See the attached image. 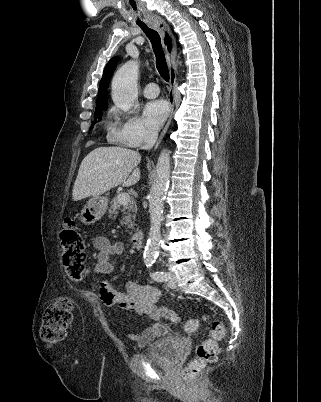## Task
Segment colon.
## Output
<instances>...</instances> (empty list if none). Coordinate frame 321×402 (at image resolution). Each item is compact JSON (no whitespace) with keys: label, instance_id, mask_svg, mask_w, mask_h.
<instances>
[{"label":"colon","instance_id":"1","mask_svg":"<svg viewBox=\"0 0 321 402\" xmlns=\"http://www.w3.org/2000/svg\"><path fill=\"white\" fill-rule=\"evenodd\" d=\"M60 236L65 272L71 280L80 281L86 261L85 239L72 216L65 218V227ZM73 309L72 299L66 296L59 297L46 307L40 328L41 339L46 345L52 346L65 339L67 329L72 321ZM208 319V317L203 318L204 321ZM198 326L199 320L191 319L186 323L185 328L192 332ZM211 335L212 338L203 340L198 344L195 357L184 369L182 376L187 383H191L206 364L217 360L219 348L216 341L225 337V328L222 322L219 320L212 321Z\"/></svg>","mask_w":321,"mask_h":402}]
</instances>
